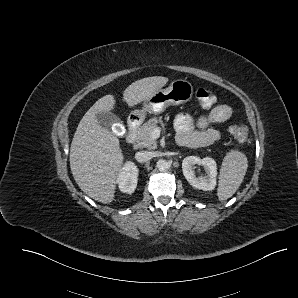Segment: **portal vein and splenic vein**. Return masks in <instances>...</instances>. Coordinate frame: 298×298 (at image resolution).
I'll return each instance as SVG.
<instances>
[{
    "instance_id": "1",
    "label": "portal vein and splenic vein",
    "mask_w": 298,
    "mask_h": 298,
    "mask_svg": "<svg viewBox=\"0 0 298 298\" xmlns=\"http://www.w3.org/2000/svg\"><path fill=\"white\" fill-rule=\"evenodd\" d=\"M161 135V129L159 127L154 128L151 132V138L152 139H158Z\"/></svg>"
}]
</instances>
